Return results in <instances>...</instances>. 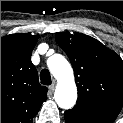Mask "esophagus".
Returning a JSON list of instances; mask_svg holds the SVG:
<instances>
[{
	"label": "esophagus",
	"mask_w": 123,
	"mask_h": 123,
	"mask_svg": "<svg viewBox=\"0 0 123 123\" xmlns=\"http://www.w3.org/2000/svg\"><path fill=\"white\" fill-rule=\"evenodd\" d=\"M55 86H56V81L54 80V81L52 82V84L49 86V91H50V92H53L54 89H55Z\"/></svg>",
	"instance_id": "1"
}]
</instances>
